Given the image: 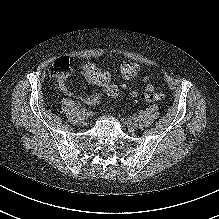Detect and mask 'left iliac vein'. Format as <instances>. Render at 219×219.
I'll return each mask as SVG.
<instances>
[{"mask_svg": "<svg viewBox=\"0 0 219 219\" xmlns=\"http://www.w3.org/2000/svg\"><path fill=\"white\" fill-rule=\"evenodd\" d=\"M127 127H128V130H129L130 132H133V131H135V130L138 128V125H137L136 122H133V121H131V120H128V121H127Z\"/></svg>", "mask_w": 219, "mask_h": 219, "instance_id": "1", "label": "left iliac vein"}]
</instances>
